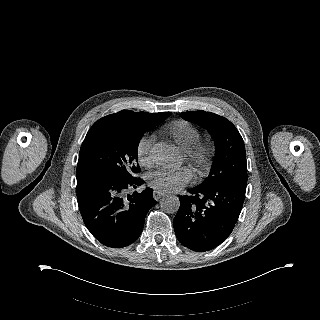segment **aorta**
<instances>
[{"instance_id":"762f6f07","label":"aorta","mask_w":320,"mask_h":320,"mask_svg":"<svg viewBox=\"0 0 320 320\" xmlns=\"http://www.w3.org/2000/svg\"><path fill=\"white\" fill-rule=\"evenodd\" d=\"M173 150L165 144H156L151 150L152 160L158 164L163 165L173 158ZM160 206L166 213H175L178 211L180 201L174 195H167L160 201Z\"/></svg>"}]
</instances>
